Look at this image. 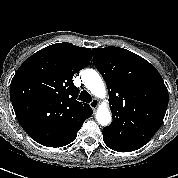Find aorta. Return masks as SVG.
<instances>
[{
    "instance_id": "1",
    "label": "aorta",
    "mask_w": 178,
    "mask_h": 178,
    "mask_svg": "<svg viewBox=\"0 0 178 178\" xmlns=\"http://www.w3.org/2000/svg\"><path fill=\"white\" fill-rule=\"evenodd\" d=\"M85 87L98 98L106 97V88L101 76L93 69H85L81 75ZM96 120L102 126L111 122V112L106 103L102 104L96 112Z\"/></svg>"
}]
</instances>
